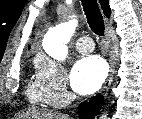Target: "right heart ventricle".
Returning <instances> with one entry per match:
<instances>
[{
    "mask_svg": "<svg viewBox=\"0 0 142 119\" xmlns=\"http://www.w3.org/2000/svg\"><path fill=\"white\" fill-rule=\"evenodd\" d=\"M27 97L33 103H47L44 90L38 79L33 80L28 84Z\"/></svg>",
    "mask_w": 142,
    "mask_h": 119,
    "instance_id": "right-heart-ventricle-1",
    "label": "right heart ventricle"
}]
</instances>
